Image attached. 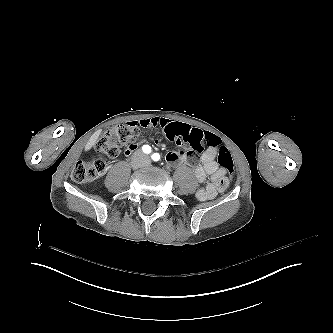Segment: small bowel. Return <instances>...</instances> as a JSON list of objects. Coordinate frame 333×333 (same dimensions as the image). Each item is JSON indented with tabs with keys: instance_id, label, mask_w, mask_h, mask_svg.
<instances>
[{
	"instance_id": "obj_1",
	"label": "small bowel",
	"mask_w": 333,
	"mask_h": 333,
	"mask_svg": "<svg viewBox=\"0 0 333 333\" xmlns=\"http://www.w3.org/2000/svg\"><path fill=\"white\" fill-rule=\"evenodd\" d=\"M135 127L141 128H160L164 131L173 130L181 131L188 130L183 124L172 121L164 117H151L142 118L132 122ZM197 131V130H195ZM199 132V131H198ZM156 145L161 143L159 138L154 140ZM136 144H129L124 150L126 156H130L136 150ZM187 154L183 150H171L166 153L165 161L169 165L180 166L187 162ZM216 150L213 147H209L200 157V164L195 167L194 176L197 182L203 183L209 177V181L196 192V198L199 201H205L213 199L221 191V184L227 181L226 170L218 165L215 160Z\"/></svg>"
}]
</instances>
